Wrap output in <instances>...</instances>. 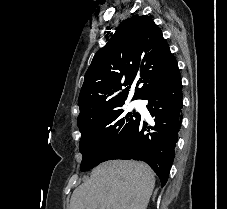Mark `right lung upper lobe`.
<instances>
[{"instance_id": "obj_1", "label": "right lung upper lobe", "mask_w": 227, "mask_h": 209, "mask_svg": "<svg viewBox=\"0 0 227 209\" xmlns=\"http://www.w3.org/2000/svg\"><path fill=\"white\" fill-rule=\"evenodd\" d=\"M176 63L161 29L150 16L134 15L123 21L108 43L94 55L85 74L78 119L102 113L106 99L126 100L136 82L133 99H143L167 73L156 74L153 69ZM123 86L126 88L122 90Z\"/></svg>"}]
</instances>
